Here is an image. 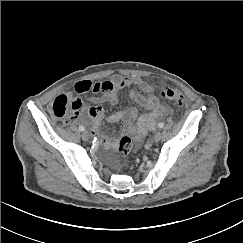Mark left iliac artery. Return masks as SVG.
<instances>
[{"instance_id":"1","label":"left iliac artery","mask_w":243,"mask_h":243,"mask_svg":"<svg viewBox=\"0 0 243 243\" xmlns=\"http://www.w3.org/2000/svg\"><path fill=\"white\" fill-rule=\"evenodd\" d=\"M164 127V123L160 122L158 123V128L162 129Z\"/></svg>"}]
</instances>
